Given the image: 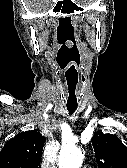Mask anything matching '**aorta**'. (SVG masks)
<instances>
[{
	"instance_id": "obj_1",
	"label": "aorta",
	"mask_w": 127,
	"mask_h": 168,
	"mask_svg": "<svg viewBox=\"0 0 127 168\" xmlns=\"http://www.w3.org/2000/svg\"><path fill=\"white\" fill-rule=\"evenodd\" d=\"M81 150L75 146L62 148L59 155V168H80L83 162Z\"/></svg>"
}]
</instances>
